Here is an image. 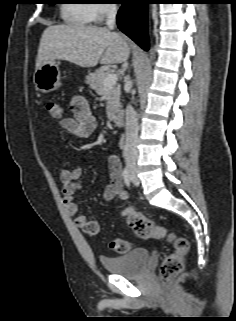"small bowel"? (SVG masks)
I'll use <instances>...</instances> for the list:
<instances>
[{
	"instance_id": "c3829d8e",
	"label": "small bowel",
	"mask_w": 236,
	"mask_h": 321,
	"mask_svg": "<svg viewBox=\"0 0 236 321\" xmlns=\"http://www.w3.org/2000/svg\"><path fill=\"white\" fill-rule=\"evenodd\" d=\"M70 107L73 116L63 118L58 123V126L66 134L80 139H86L92 136L97 124L90 111L88 100L82 95H76L72 98ZM108 169L110 183L103 192V198L105 200H111L114 197L126 199L127 193L123 189L122 167L118 156H109ZM81 176V167H75L73 169L62 167L60 169L63 203L68 214L74 217L75 225L83 229L87 234L94 235L99 231V223L95 220H89L86 216L80 214L76 203V194L80 190L78 180Z\"/></svg>"
}]
</instances>
